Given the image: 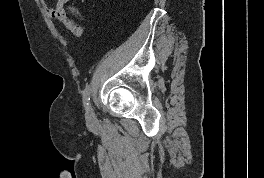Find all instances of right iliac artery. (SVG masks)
Wrapping results in <instances>:
<instances>
[{
    "label": "right iliac artery",
    "instance_id": "1",
    "mask_svg": "<svg viewBox=\"0 0 264 178\" xmlns=\"http://www.w3.org/2000/svg\"><path fill=\"white\" fill-rule=\"evenodd\" d=\"M89 100H90V86L87 85L83 93V104L86 109L89 106Z\"/></svg>",
    "mask_w": 264,
    "mask_h": 178
}]
</instances>
